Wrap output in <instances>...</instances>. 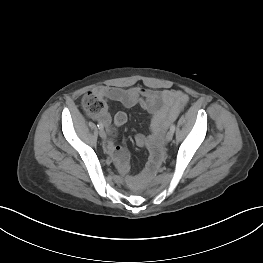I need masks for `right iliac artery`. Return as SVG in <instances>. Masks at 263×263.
I'll use <instances>...</instances> for the list:
<instances>
[{
    "instance_id": "obj_1",
    "label": "right iliac artery",
    "mask_w": 263,
    "mask_h": 263,
    "mask_svg": "<svg viewBox=\"0 0 263 263\" xmlns=\"http://www.w3.org/2000/svg\"><path fill=\"white\" fill-rule=\"evenodd\" d=\"M97 126H98L99 129H103L104 128V126H103V124L101 122H99Z\"/></svg>"
}]
</instances>
